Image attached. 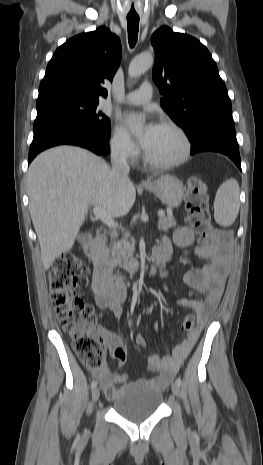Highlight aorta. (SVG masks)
I'll list each match as a JSON object with an SVG mask.
<instances>
[{
    "label": "aorta",
    "mask_w": 263,
    "mask_h": 465,
    "mask_svg": "<svg viewBox=\"0 0 263 465\" xmlns=\"http://www.w3.org/2000/svg\"><path fill=\"white\" fill-rule=\"evenodd\" d=\"M154 63V58L151 53H143L135 57L128 68L129 77H138L145 73ZM143 122H137L135 125V130L142 129Z\"/></svg>",
    "instance_id": "aorta-1"
}]
</instances>
